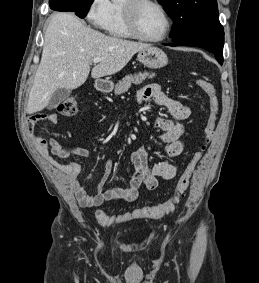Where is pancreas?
<instances>
[{"label":"pancreas","instance_id":"pancreas-1","mask_svg":"<svg viewBox=\"0 0 259 283\" xmlns=\"http://www.w3.org/2000/svg\"><path fill=\"white\" fill-rule=\"evenodd\" d=\"M153 78L155 77V73H150V72H139L135 73L134 75H127L125 76L121 81L117 83L115 86L114 93L115 95H121L125 92L128 91V89L131 87V84H140L145 80L146 78Z\"/></svg>","mask_w":259,"mask_h":283}]
</instances>
